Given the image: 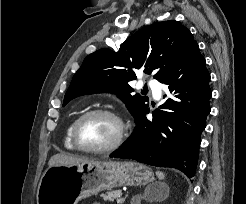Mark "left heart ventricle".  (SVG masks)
<instances>
[{
  "label": "left heart ventricle",
  "mask_w": 246,
  "mask_h": 204,
  "mask_svg": "<svg viewBox=\"0 0 246 204\" xmlns=\"http://www.w3.org/2000/svg\"><path fill=\"white\" fill-rule=\"evenodd\" d=\"M116 122L104 115H94L85 119L78 131L79 143L86 148H101L109 145L116 137Z\"/></svg>",
  "instance_id": "obj_1"
}]
</instances>
